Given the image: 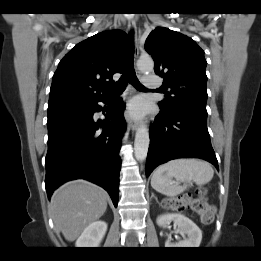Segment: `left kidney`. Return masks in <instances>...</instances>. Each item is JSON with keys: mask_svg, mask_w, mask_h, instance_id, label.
<instances>
[{"mask_svg": "<svg viewBox=\"0 0 261 261\" xmlns=\"http://www.w3.org/2000/svg\"><path fill=\"white\" fill-rule=\"evenodd\" d=\"M173 221L178 226L187 238L179 240L178 242H171V239H167L165 247L167 248H197L202 240V232L200 228L189 218L179 213L164 214L157 218L156 222L159 226H165Z\"/></svg>", "mask_w": 261, "mask_h": 261, "instance_id": "5707ae66", "label": "left kidney"}]
</instances>
